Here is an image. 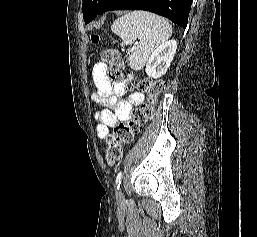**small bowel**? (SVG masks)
Listing matches in <instances>:
<instances>
[{"label":"small bowel","instance_id":"small-bowel-1","mask_svg":"<svg viewBox=\"0 0 257 237\" xmlns=\"http://www.w3.org/2000/svg\"><path fill=\"white\" fill-rule=\"evenodd\" d=\"M92 78L97 90L92 98L100 107L95 114L99 122L97 135L100 139H104L110 128L120 121L131 118L133 107L143 102L144 95L134 92L127 99H120L126 92V85L125 83L113 84L107 76V66L102 62L94 64Z\"/></svg>","mask_w":257,"mask_h":237}]
</instances>
